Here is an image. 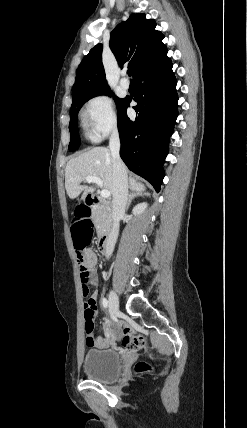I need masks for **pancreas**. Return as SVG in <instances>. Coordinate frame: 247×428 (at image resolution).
<instances>
[{
  "label": "pancreas",
  "instance_id": "1",
  "mask_svg": "<svg viewBox=\"0 0 247 428\" xmlns=\"http://www.w3.org/2000/svg\"><path fill=\"white\" fill-rule=\"evenodd\" d=\"M93 221L99 233L110 228L111 217L109 212L103 206H95L93 208Z\"/></svg>",
  "mask_w": 247,
  "mask_h": 428
}]
</instances>
